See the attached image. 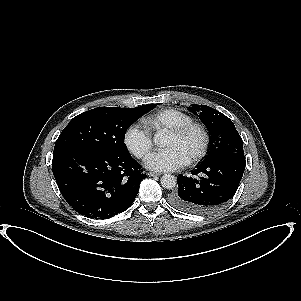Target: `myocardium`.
I'll use <instances>...</instances> for the list:
<instances>
[{"label": "myocardium", "instance_id": "f54148a6", "mask_svg": "<svg viewBox=\"0 0 301 301\" xmlns=\"http://www.w3.org/2000/svg\"><path fill=\"white\" fill-rule=\"evenodd\" d=\"M191 130H197L200 133L201 141L198 148L186 159L189 163H193L199 160L205 154V151L208 146V134L205 128L200 123L191 122L186 125L170 129L164 132V137H182Z\"/></svg>", "mask_w": 301, "mask_h": 301}]
</instances>
